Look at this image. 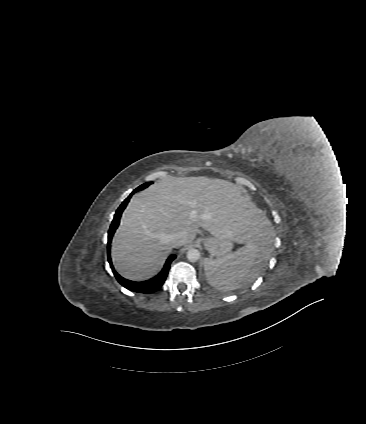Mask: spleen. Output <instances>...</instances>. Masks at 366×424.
<instances>
[{
  "instance_id": "obj_1",
  "label": "spleen",
  "mask_w": 366,
  "mask_h": 424,
  "mask_svg": "<svg viewBox=\"0 0 366 424\" xmlns=\"http://www.w3.org/2000/svg\"><path fill=\"white\" fill-rule=\"evenodd\" d=\"M264 250L255 242L218 259L207 258L204 271L210 285L229 291L241 288L255 278L256 268Z\"/></svg>"
}]
</instances>
